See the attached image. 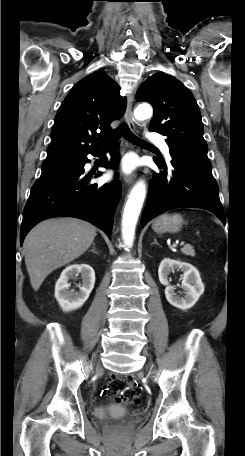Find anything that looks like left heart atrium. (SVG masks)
Here are the masks:
<instances>
[{
	"label": "left heart atrium",
	"instance_id": "left-heart-atrium-1",
	"mask_svg": "<svg viewBox=\"0 0 245 456\" xmlns=\"http://www.w3.org/2000/svg\"><path fill=\"white\" fill-rule=\"evenodd\" d=\"M134 167V161L130 158H127L122 163V171L125 173L130 172Z\"/></svg>",
	"mask_w": 245,
	"mask_h": 456
}]
</instances>
